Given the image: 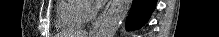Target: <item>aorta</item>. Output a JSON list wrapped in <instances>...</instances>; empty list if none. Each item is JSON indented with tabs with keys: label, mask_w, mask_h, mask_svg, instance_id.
I'll list each match as a JSON object with an SVG mask.
<instances>
[{
	"label": "aorta",
	"mask_w": 219,
	"mask_h": 37,
	"mask_svg": "<svg viewBox=\"0 0 219 37\" xmlns=\"http://www.w3.org/2000/svg\"><path fill=\"white\" fill-rule=\"evenodd\" d=\"M131 4L132 0H113L101 23L98 37H114Z\"/></svg>",
	"instance_id": "762f6f07"
}]
</instances>
